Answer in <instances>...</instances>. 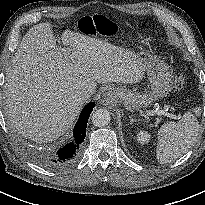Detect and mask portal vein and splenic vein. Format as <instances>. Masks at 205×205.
I'll use <instances>...</instances> for the list:
<instances>
[{
    "mask_svg": "<svg viewBox=\"0 0 205 205\" xmlns=\"http://www.w3.org/2000/svg\"><path fill=\"white\" fill-rule=\"evenodd\" d=\"M66 50H63L62 52H65ZM148 114H156V115H165L171 119H177L178 116L174 115L172 113L168 112V109L166 110H152V111H148Z\"/></svg>",
    "mask_w": 205,
    "mask_h": 205,
    "instance_id": "18ae733b",
    "label": "portal vein and splenic vein"
}]
</instances>
